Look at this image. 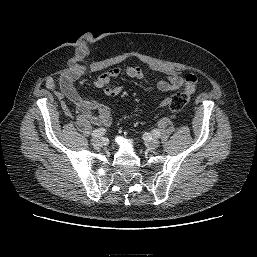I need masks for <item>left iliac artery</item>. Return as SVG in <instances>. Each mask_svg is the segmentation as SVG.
I'll return each instance as SVG.
<instances>
[{
    "mask_svg": "<svg viewBox=\"0 0 257 257\" xmlns=\"http://www.w3.org/2000/svg\"><path fill=\"white\" fill-rule=\"evenodd\" d=\"M153 135L157 138H159L161 135H160V132L158 130H153L152 131Z\"/></svg>",
    "mask_w": 257,
    "mask_h": 257,
    "instance_id": "1",
    "label": "left iliac artery"
}]
</instances>
